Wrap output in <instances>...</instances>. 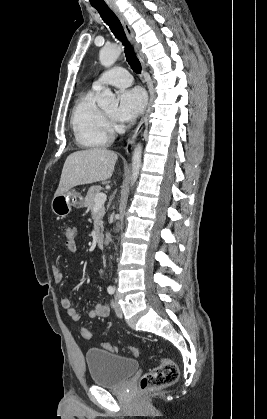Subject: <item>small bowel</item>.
Listing matches in <instances>:
<instances>
[{"instance_id": "c3829d8e", "label": "small bowel", "mask_w": 267, "mask_h": 419, "mask_svg": "<svg viewBox=\"0 0 267 419\" xmlns=\"http://www.w3.org/2000/svg\"><path fill=\"white\" fill-rule=\"evenodd\" d=\"M65 249L69 253H75L77 250V244L70 246L65 244ZM52 276L55 282L60 283L63 280V273L57 265H52L51 267ZM102 273V271H100ZM62 307L66 310L67 314L74 321H79L81 319V314L79 311L72 305L70 299L64 298L61 301ZM110 313V308L105 303H97L93 305L87 312V316L91 319L95 318H104L107 317Z\"/></svg>"}]
</instances>
